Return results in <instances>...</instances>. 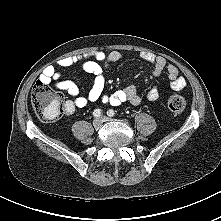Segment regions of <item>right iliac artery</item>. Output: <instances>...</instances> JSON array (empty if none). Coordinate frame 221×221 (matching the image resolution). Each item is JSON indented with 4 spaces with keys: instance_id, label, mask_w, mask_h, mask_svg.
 I'll list each match as a JSON object with an SVG mask.
<instances>
[{
    "instance_id": "obj_1",
    "label": "right iliac artery",
    "mask_w": 221,
    "mask_h": 221,
    "mask_svg": "<svg viewBox=\"0 0 221 221\" xmlns=\"http://www.w3.org/2000/svg\"><path fill=\"white\" fill-rule=\"evenodd\" d=\"M102 114L100 109H95L93 112L94 117H100Z\"/></svg>"
}]
</instances>
